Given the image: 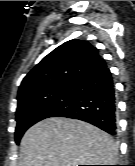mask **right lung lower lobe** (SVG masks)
I'll return each mask as SVG.
<instances>
[{"mask_svg":"<svg viewBox=\"0 0 135 166\" xmlns=\"http://www.w3.org/2000/svg\"><path fill=\"white\" fill-rule=\"evenodd\" d=\"M70 104L52 117H67L91 123L112 136L117 134V104L112 74L106 64L72 85Z\"/></svg>","mask_w":135,"mask_h":166,"instance_id":"right-lung-lower-lobe-1","label":"right lung lower lobe"}]
</instances>
